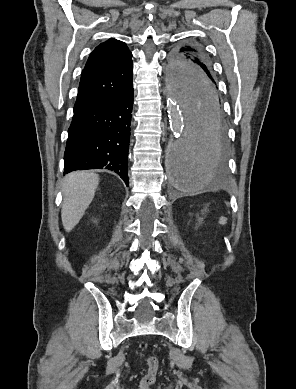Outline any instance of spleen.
<instances>
[{"instance_id": "3e777b00", "label": "spleen", "mask_w": 296, "mask_h": 389, "mask_svg": "<svg viewBox=\"0 0 296 389\" xmlns=\"http://www.w3.org/2000/svg\"><path fill=\"white\" fill-rule=\"evenodd\" d=\"M193 180H203V179H193ZM192 187V186H191Z\"/></svg>"}]
</instances>
